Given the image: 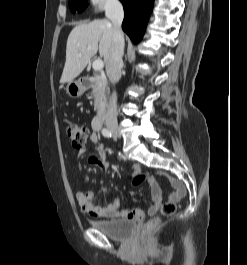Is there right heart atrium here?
<instances>
[{
	"label": "right heart atrium",
	"instance_id": "obj_1",
	"mask_svg": "<svg viewBox=\"0 0 247 265\" xmlns=\"http://www.w3.org/2000/svg\"><path fill=\"white\" fill-rule=\"evenodd\" d=\"M117 2L118 0H90V3L93 6L98 7L100 9L112 8Z\"/></svg>",
	"mask_w": 247,
	"mask_h": 265
}]
</instances>
